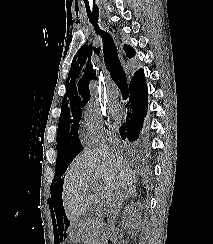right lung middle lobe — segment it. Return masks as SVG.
Here are the masks:
<instances>
[{
    "label": "right lung middle lobe",
    "mask_w": 213,
    "mask_h": 244,
    "mask_svg": "<svg viewBox=\"0 0 213 244\" xmlns=\"http://www.w3.org/2000/svg\"><path fill=\"white\" fill-rule=\"evenodd\" d=\"M82 106L70 108L61 112L57 133V160L53 183L65 172L74 157L83 150L78 138L79 120ZM59 180H57L58 182Z\"/></svg>",
    "instance_id": "obj_1"
}]
</instances>
